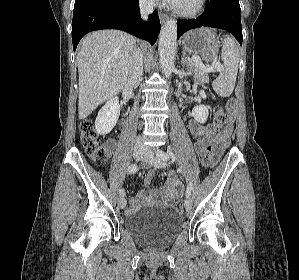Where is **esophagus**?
<instances>
[{"label": "esophagus", "instance_id": "1", "mask_svg": "<svg viewBox=\"0 0 299 280\" xmlns=\"http://www.w3.org/2000/svg\"><path fill=\"white\" fill-rule=\"evenodd\" d=\"M159 18H160V21L162 23H164L168 19V16L166 14L160 12L159 13Z\"/></svg>", "mask_w": 299, "mask_h": 280}]
</instances>
